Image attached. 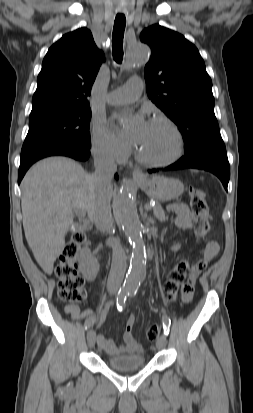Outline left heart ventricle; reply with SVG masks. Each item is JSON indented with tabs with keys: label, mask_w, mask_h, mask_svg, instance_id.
<instances>
[{
	"label": "left heart ventricle",
	"mask_w": 253,
	"mask_h": 413,
	"mask_svg": "<svg viewBox=\"0 0 253 413\" xmlns=\"http://www.w3.org/2000/svg\"><path fill=\"white\" fill-rule=\"evenodd\" d=\"M137 146L147 157L163 160L174 153L176 143L167 125L160 122H150Z\"/></svg>",
	"instance_id": "obj_1"
}]
</instances>
